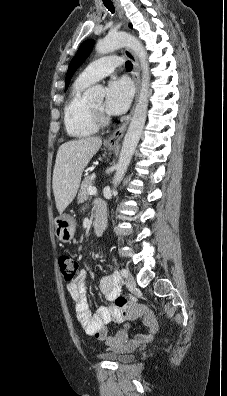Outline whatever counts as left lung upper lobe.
Masks as SVG:
<instances>
[{
	"instance_id": "left-lung-upper-lobe-1",
	"label": "left lung upper lobe",
	"mask_w": 227,
	"mask_h": 396,
	"mask_svg": "<svg viewBox=\"0 0 227 396\" xmlns=\"http://www.w3.org/2000/svg\"><path fill=\"white\" fill-rule=\"evenodd\" d=\"M130 27H132V25H129ZM94 45V41L93 40H86L85 42H83L81 44V46L79 47L75 57L73 58V60L71 61L67 74H66V85H65V91L68 88L69 82L71 77L73 76L74 72L78 69V67L85 61V59L89 56L92 48Z\"/></svg>"
}]
</instances>
